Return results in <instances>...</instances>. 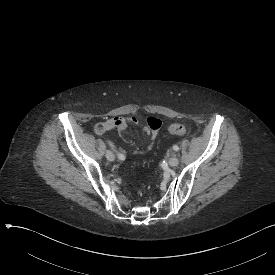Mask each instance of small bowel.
Instances as JSON below:
<instances>
[{"label": "small bowel", "instance_id": "obj_1", "mask_svg": "<svg viewBox=\"0 0 275 275\" xmlns=\"http://www.w3.org/2000/svg\"><path fill=\"white\" fill-rule=\"evenodd\" d=\"M128 122H131V121H128ZM134 122H136V120H134ZM144 124L146 125V127L143 129V134L146 137H150L153 142L155 140L154 133H156L162 128V123L159 120H155L152 116H147L144 119ZM112 126L115 129L124 130L127 127V121H125L124 119H121L120 117H115L112 121ZM150 147L151 145L146 150L150 149ZM144 151H135L134 153L140 154V153H143Z\"/></svg>", "mask_w": 275, "mask_h": 275}]
</instances>
